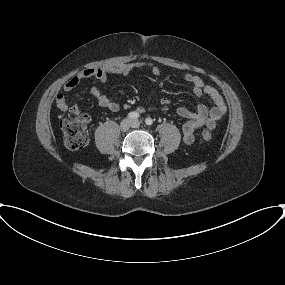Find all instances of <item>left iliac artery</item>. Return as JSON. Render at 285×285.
<instances>
[{"instance_id":"obj_1","label":"left iliac artery","mask_w":285,"mask_h":285,"mask_svg":"<svg viewBox=\"0 0 285 285\" xmlns=\"http://www.w3.org/2000/svg\"><path fill=\"white\" fill-rule=\"evenodd\" d=\"M145 123H146L147 125H152L153 120H152L151 118H146V119H145Z\"/></svg>"}]
</instances>
